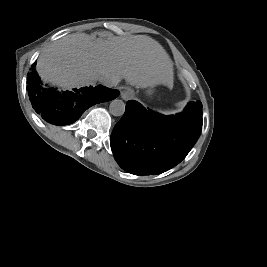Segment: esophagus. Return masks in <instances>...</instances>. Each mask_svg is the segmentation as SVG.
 <instances>
[{"label": "esophagus", "instance_id": "obj_1", "mask_svg": "<svg viewBox=\"0 0 267 267\" xmlns=\"http://www.w3.org/2000/svg\"><path fill=\"white\" fill-rule=\"evenodd\" d=\"M134 93L132 90H129V89H125L121 92V98L123 100H129L133 97Z\"/></svg>", "mask_w": 267, "mask_h": 267}]
</instances>
